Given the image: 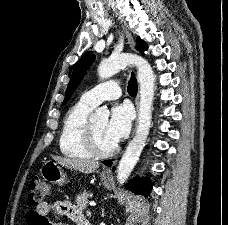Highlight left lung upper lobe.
<instances>
[{"mask_svg": "<svg viewBox=\"0 0 228 225\" xmlns=\"http://www.w3.org/2000/svg\"><path fill=\"white\" fill-rule=\"evenodd\" d=\"M136 42V49L140 51V53L144 54V51L147 50V44L140 38H138ZM94 59L95 55L92 52H87L76 64L70 82L68 84L66 96L63 103H66L70 99L74 90L77 88L83 76L86 74L87 69L92 65Z\"/></svg>", "mask_w": 228, "mask_h": 225, "instance_id": "5c2ea615", "label": "left lung upper lobe"}]
</instances>
